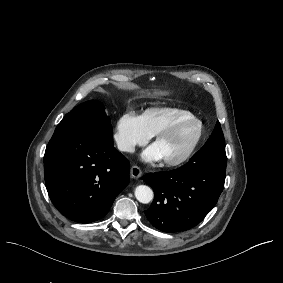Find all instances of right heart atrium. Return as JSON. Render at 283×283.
Wrapping results in <instances>:
<instances>
[{
    "mask_svg": "<svg viewBox=\"0 0 283 283\" xmlns=\"http://www.w3.org/2000/svg\"><path fill=\"white\" fill-rule=\"evenodd\" d=\"M151 135L143 119L132 111L122 112L113 122V142L121 152H133L136 146L146 143Z\"/></svg>",
    "mask_w": 283,
    "mask_h": 283,
    "instance_id": "1",
    "label": "right heart atrium"
}]
</instances>
